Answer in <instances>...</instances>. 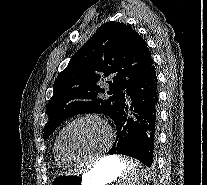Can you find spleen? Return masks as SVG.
<instances>
[{"label": "spleen", "instance_id": "3e777b00", "mask_svg": "<svg viewBox=\"0 0 207 185\" xmlns=\"http://www.w3.org/2000/svg\"><path fill=\"white\" fill-rule=\"evenodd\" d=\"M119 163H123V171L121 174V185H142L145 179H153V174H149V166L140 163V159L119 158Z\"/></svg>", "mask_w": 207, "mask_h": 185}]
</instances>
